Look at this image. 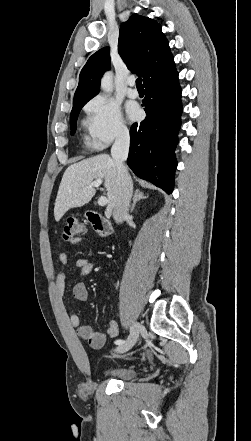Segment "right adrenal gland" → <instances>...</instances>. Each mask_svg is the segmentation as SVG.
I'll return each instance as SVG.
<instances>
[{
  "mask_svg": "<svg viewBox=\"0 0 251 441\" xmlns=\"http://www.w3.org/2000/svg\"><path fill=\"white\" fill-rule=\"evenodd\" d=\"M146 198H148V196H145L142 191H140L139 189L135 190L134 195H133V203L130 208V213L133 212L137 202H139L140 200L146 199Z\"/></svg>",
  "mask_w": 251,
  "mask_h": 441,
  "instance_id": "obj_1",
  "label": "right adrenal gland"
}]
</instances>
